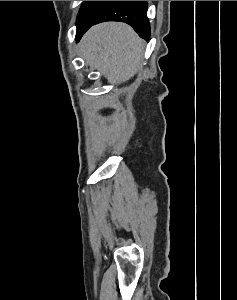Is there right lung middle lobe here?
Returning a JSON list of instances; mask_svg holds the SVG:
<instances>
[{
    "label": "right lung middle lobe",
    "instance_id": "dd1d6c3e",
    "mask_svg": "<svg viewBox=\"0 0 237 300\" xmlns=\"http://www.w3.org/2000/svg\"><path fill=\"white\" fill-rule=\"evenodd\" d=\"M115 1H83L77 17V31L98 20Z\"/></svg>",
    "mask_w": 237,
    "mask_h": 300
}]
</instances>
